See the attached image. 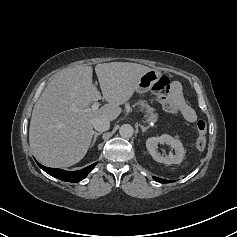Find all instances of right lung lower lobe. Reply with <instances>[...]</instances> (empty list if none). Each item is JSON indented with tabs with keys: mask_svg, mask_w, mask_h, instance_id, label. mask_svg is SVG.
I'll return each mask as SVG.
<instances>
[{
	"mask_svg": "<svg viewBox=\"0 0 237 237\" xmlns=\"http://www.w3.org/2000/svg\"><path fill=\"white\" fill-rule=\"evenodd\" d=\"M37 164L39 165V167L41 169H43L46 173H48L49 175L58 178L60 180L63 181H68V182H79L82 179H84L87 174L95 167V165L97 163H94L82 170L79 171H65L62 169H54V168H48L45 167L43 165H41L40 163L37 162Z\"/></svg>",
	"mask_w": 237,
	"mask_h": 237,
	"instance_id": "1",
	"label": "right lung lower lobe"
}]
</instances>
